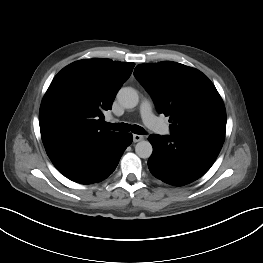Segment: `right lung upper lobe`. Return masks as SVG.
Instances as JSON below:
<instances>
[{"instance_id": "obj_1", "label": "right lung upper lobe", "mask_w": 263, "mask_h": 263, "mask_svg": "<svg viewBox=\"0 0 263 263\" xmlns=\"http://www.w3.org/2000/svg\"><path fill=\"white\" fill-rule=\"evenodd\" d=\"M134 65L110 59H85L66 66L55 76L39 112L41 137L51 160L118 134L103 128V111L112 108Z\"/></svg>"}]
</instances>
